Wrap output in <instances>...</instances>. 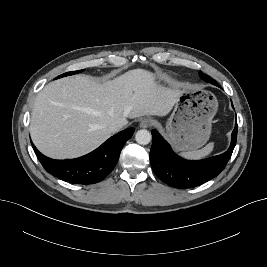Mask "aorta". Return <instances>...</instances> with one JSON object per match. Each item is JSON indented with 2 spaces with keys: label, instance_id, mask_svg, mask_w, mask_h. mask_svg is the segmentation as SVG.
<instances>
[{
  "label": "aorta",
  "instance_id": "762f6f07",
  "mask_svg": "<svg viewBox=\"0 0 267 267\" xmlns=\"http://www.w3.org/2000/svg\"><path fill=\"white\" fill-rule=\"evenodd\" d=\"M151 138H152L151 133L145 129L137 131L135 135L136 142L141 145L149 144L151 141Z\"/></svg>",
  "mask_w": 267,
  "mask_h": 267
}]
</instances>
